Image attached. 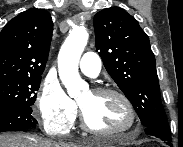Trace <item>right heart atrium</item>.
I'll return each instance as SVG.
<instances>
[{
	"mask_svg": "<svg viewBox=\"0 0 183 147\" xmlns=\"http://www.w3.org/2000/svg\"><path fill=\"white\" fill-rule=\"evenodd\" d=\"M37 107L46 130L65 134L76 120V103L65 93L55 79L47 78L41 84L37 97Z\"/></svg>",
	"mask_w": 183,
	"mask_h": 147,
	"instance_id": "1",
	"label": "right heart atrium"
}]
</instances>
